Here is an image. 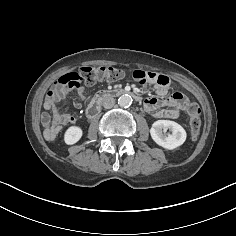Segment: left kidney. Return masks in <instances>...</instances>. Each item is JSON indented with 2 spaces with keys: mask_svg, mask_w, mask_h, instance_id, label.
<instances>
[{
  "mask_svg": "<svg viewBox=\"0 0 236 236\" xmlns=\"http://www.w3.org/2000/svg\"><path fill=\"white\" fill-rule=\"evenodd\" d=\"M168 129L171 131V134L165 133ZM150 134L156 144L168 150L181 146L187 137L185 129L178 123L170 120L155 121L150 129Z\"/></svg>",
  "mask_w": 236,
  "mask_h": 236,
  "instance_id": "1",
  "label": "left kidney"
}]
</instances>
